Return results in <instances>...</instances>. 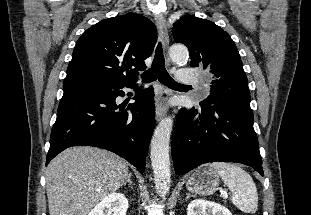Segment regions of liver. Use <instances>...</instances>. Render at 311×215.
Masks as SVG:
<instances>
[{"label":"liver","mask_w":311,"mask_h":215,"mask_svg":"<svg viewBox=\"0 0 311 215\" xmlns=\"http://www.w3.org/2000/svg\"><path fill=\"white\" fill-rule=\"evenodd\" d=\"M129 175L117 155L93 147H71L56 156L46 173L50 215H87Z\"/></svg>","instance_id":"liver-1"}]
</instances>
